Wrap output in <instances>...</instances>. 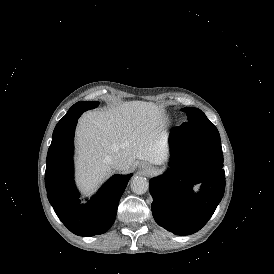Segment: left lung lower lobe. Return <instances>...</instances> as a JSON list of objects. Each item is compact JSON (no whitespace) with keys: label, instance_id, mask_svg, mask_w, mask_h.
<instances>
[{"label":"left lung lower lobe","instance_id":"1","mask_svg":"<svg viewBox=\"0 0 274 274\" xmlns=\"http://www.w3.org/2000/svg\"><path fill=\"white\" fill-rule=\"evenodd\" d=\"M169 141L172 169L149 182L152 214L168 231L189 235L207 223L224 194L220 135L177 126ZM199 183L200 192L194 193L192 186Z\"/></svg>","mask_w":274,"mask_h":274}]
</instances>
